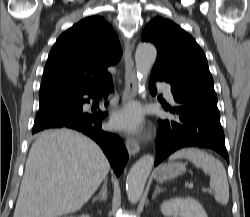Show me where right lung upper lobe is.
Here are the masks:
<instances>
[{
    "instance_id": "cb5924a9",
    "label": "right lung upper lobe",
    "mask_w": 250,
    "mask_h": 217,
    "mask_svg": "<svg viewBox=\"0 0 250 217\" xmlns=\"http://www.w3.org/2000/svg\"><path fill=\"white\" fill-rule=\"evenodd\" d=\"M119 40L102 17H87L64 32L48 56L40 106L95 90L111 80L107 67L121 58Z\"/></svg>"
}]
</instances>
